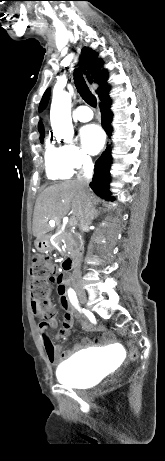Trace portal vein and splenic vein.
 Segmentation results:
<instances>
[{
  "instance_id": "1",
  "label": "portal vein and splenic vein",
  "mask_w": 165,
  "mask_h": 461,
  "mask_svg": "<svg viewBox=\"0 0 165 461\" xmlns=\"http://www.w3.org/2000/svg\"><path fill=\"white\" fill-rule=\"evenodd\" d=\"M76 223H77V221H76V218H75V217H73V218H71V219L69 220V224H70V225H75Z\"/></svg>"
}]
</instances>
